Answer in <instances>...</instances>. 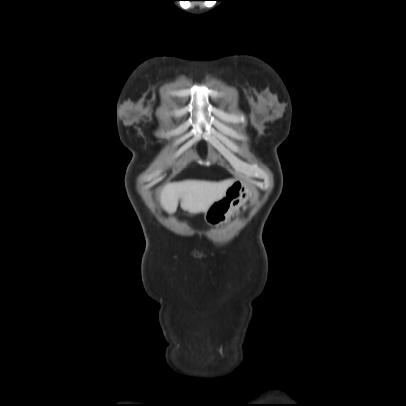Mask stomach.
<instances>
[{"label":"stomach","instance_id":"stomach-1","mask_svg":"<svg viewBox=\"0 0 406 406\" xmlns=\"http://www.w3.org/2000/svg\"><path fill=\"white\" fill-rule=\"evenodd\" d=\"M250 185L242 179L231 182L225 195L215 201L206 211L204 219L210 226H220L230 219L250 197Z\"/></svg>","mask_w":406,"mask_h":406}]
</instances>
